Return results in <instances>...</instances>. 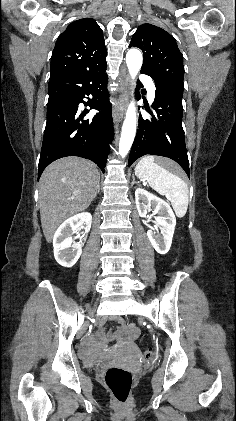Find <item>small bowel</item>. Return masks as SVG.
Instances as JSON below:
<instances>
[{
	"label": "small bowel",
	"mask_w": 236,
	"mask_h": 421,
	"mask_svg": "<svg viewBox=\"0 0 236 421\" xmlns=\"http://www.w3.org/2000/svg\"><path fill=\"white\" fill-rule=\"evenodd\" d=\"M129 328L133 333H138V329L134 325H130Z\"/></svg>",
	"instance_id": "small-bowel-1"
}]
</instances>
